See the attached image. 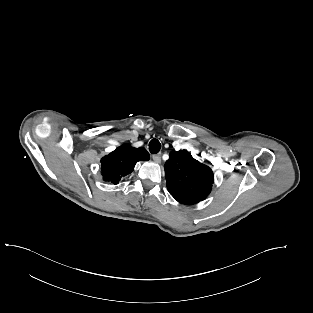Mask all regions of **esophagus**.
<instances>
[{
    "mask_svg": "<svg viewBox=\"0 0 313 313\" xmlns=\"http://www.w3.org/2000/svg\"><path fill=\"white\" fill-rule=\"evenodd\" d=\"M152 159H153L156 163H160V161H161V155H160V154H154V155H152Z\"/></svg>",
    "mask_w": 313,
    "mask_h": 313,
    "instance_id": "1",
    "label": "esophagus"
}]
</instances>
